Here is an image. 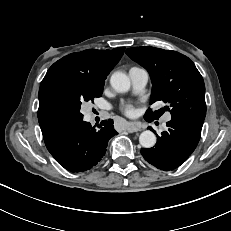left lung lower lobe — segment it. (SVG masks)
<instances>
[{"instance_id": "obj_1", "label": "left lung lower lobe", "mask_w": 231, "mask_h": 231, "mask_svg": "<svg viewBox=\"0 0 231 231\" xmlns=\"http://www.w3.org/2000/svg\"><path fill=\"white\" fill-rule=\"evenodd\" d=\"M150 122L152 119L144 116ZM168 130L157 135L155 147L141 149L145 160L158 169L169 171L183 164L195 150L201 130L185 122L170 120ZM152 129L151 127H149Z\"/></svg>"}]
</instances>
